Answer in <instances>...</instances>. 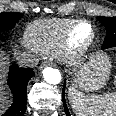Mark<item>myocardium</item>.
<instances>
[{
    "label": "myocardium",
    "instance_id": "f54148a6",
    "mask_svg": "<svg viewBox=\"0 0 116 116\" xmlns=\"http://www.w3.org/2000/svg\"><path fill=\"white\" fill-rule=\"evenodd\" d=\"M86 24L91 28V34L89 38L79 46H75L72 43V35L76 29ZM96 38V28L92 22L85 19H79L69 25L62 33L58 46L56 48L59 59L66 64H74L80 61L93 45Z\"/></svg>",
    "mask_w": 116,
    "mask_h": 116
}]
</instances>
